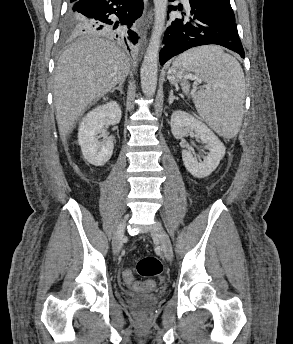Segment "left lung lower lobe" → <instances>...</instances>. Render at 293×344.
I'll return each instance as SVG.
<instances>
[{
	"label": "left lung lower lobe",
	"mask_w": 293,
	"mask_h": 344,
	"mask_svg": "<svg viewBox=\"0 0 293 344\" xmlns=\"http://www.w3.org/2000/svg\"><path fill=\"white\" fill-rule=\"evenodd\" d=\"M189 4V20L176 18L166 30L164 47L160 52L161 65L185 50L208 44L224 46L244 58V49L233 18L208 0H189ZM170 8L182 11V6Z\"/></svg>",
	"instance_id": "left-lung-lower-lobe-1"
}]
</instances>
